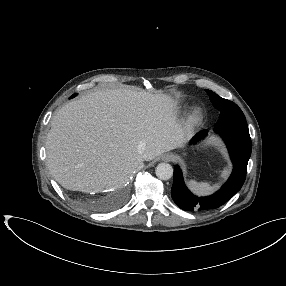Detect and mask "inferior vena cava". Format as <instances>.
<instances>
[{
  "label": "inferior vena cava",
  "mask_w": 286,
  "mask_h": 286,
  "mask_svg": "<svg viewBox=\"0 0 286 286\" xmlns=\"http://www.w3.org/2000/svg\"><path fill=\"white\" fill-rule=\"evenodd\" d=\"M141 167H142V163H139V164L136 166L135 169H139V168H141Z\"/></svg>",
  "instance_id": "inferior-vena-cava-1"
}]
</instances>
